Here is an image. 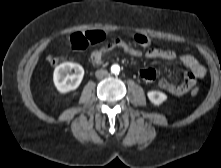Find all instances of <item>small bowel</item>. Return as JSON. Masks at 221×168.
<instances>
[{"mask_svg": "<svg viewBox=\"0 0 221 168\" xmlns=\"http://www.w3.org/2000/svg\"><path fill=\"white\" fill-rule=\"evenodd\" d=\"M113 50H120L125 54L132 57L142 56V51L134 48L129 43L121 39H116L111 43L95 49L89 55V60L95 64H101L106 54ZM145 56L151 59H162L167 61H173L179 59L182 64L187 68L184 80L179 83H173L168 78H162L158 81V85L163 90L174 96H182L186 94L196 83L198 79L205 76L206 70L203 65L192 55L183 54L178 56L172 50L150 48L145 52ZM139 76L145 82H153L156 79V71L152 68H143L139 71Z\"/></svg>", "mask_w": 221, "mask_h": 168, "instance_id": "obj_1", "label": "small bowel"}]
</instances>
